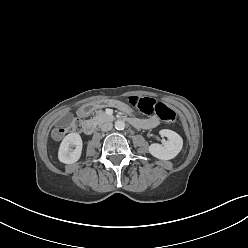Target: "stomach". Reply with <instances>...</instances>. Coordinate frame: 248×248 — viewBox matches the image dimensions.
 I'll use <instances>...</instances> for the list:
<instances>
[{"label": "stomach", "mask_w": 248, "mask_h": 248, "mask_svg": "<svg viewBox=\"0 0 248 248\" xmlns=\"http://www.w3.org/2000/svg\"><path fill=\"white\" fill-rule=\"evenodd\" d=\"M117 107L123 114H127L129 112V109L122 104L121 102H119L118 100H105V101H101V102H97L95 104V107L97 109L100 108H107V107Z\"/></svg>", "instance_id": "1"}]
</instances>
